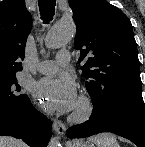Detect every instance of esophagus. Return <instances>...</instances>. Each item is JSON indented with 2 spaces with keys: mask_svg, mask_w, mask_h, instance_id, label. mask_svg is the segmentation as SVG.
Returning a JSON list of instances; mask_svg holds the SVG:
<instances>
[{
  "mask_svg": "<svg viewBox=\"0 0 145 147\" xmlns=\"http://www.w3.org/2000/svg\"><path fill=\"white\" fill-rule=\"evenodd\" d=\"M53 130L62 136L66 132V126L60 120L55 119L53 121Z\"/></svg>",
  "mask_w": 145,
  "mask_h": 147,
  "instance_id": "34e87169",
  "label": "esophagus"
}]
</instances>
